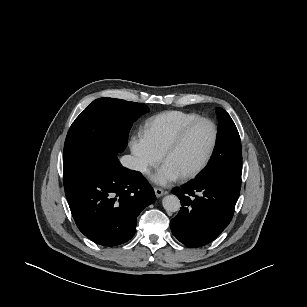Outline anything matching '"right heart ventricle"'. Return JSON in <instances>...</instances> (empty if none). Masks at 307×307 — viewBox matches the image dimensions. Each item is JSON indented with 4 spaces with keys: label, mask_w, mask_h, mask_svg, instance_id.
Segmentation results:
<instances>
[{
    "label": "right heart ventricle",
    "mask_w": 307,
    "mask_h": 307,
    "mask_svg": "<svg viewBox=\"0 0 307 307\" xmlns=\"http://www.w3.org/2000/svg\"><path fill=\"white\" fill-rule=\"evenodd\" d=\"M201 116L192 112L166 111L158 114L145 125L144 136L153 148L163 154L177 133L189 122Z\"/></svg>",
    "instance_id": "right-heart-ventricle-1"
}]
</instances>
